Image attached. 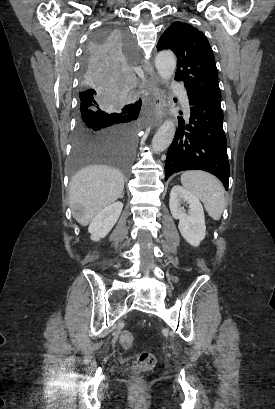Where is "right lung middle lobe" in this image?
<instances>
[{
	"label": "right lung middle lobe",
	"mask_w": 275,
	"mask_h": 409,
	"mask_svg": "<svg viewBox=\"0 0 275 409\" xmlns=\"http://www.w3.org/2000/svg\"><path fill=\"white\" fill-rule=\"evenodd\" d=\"M135 50L123 24H103L87 43L77 71L82 90L69 160L72 178L81 167L101 164L115 165L127 179L132 175L141 104L125 105V96L114 91L126 90Z\"/></svg>",
	"instance_id": "1"
}]
</instances>
